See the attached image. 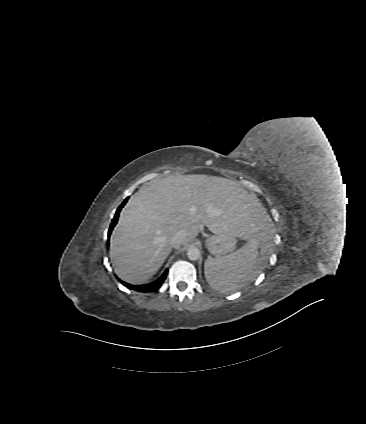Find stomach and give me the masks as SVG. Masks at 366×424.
Wrapping results in <instances>:
<instances>
[{"mask_svg": "<svg viewBox=\"0 0 366 424\" xmlns=\"http://www.w3.org/2000/svg\"><path fill=\"white\" fill-rule=\"evenodd\" d=\"M238 236L229 233H218L209 237L206 242L208 251L216 256H222L232 251L236 245Z\"/></svg>", "mask_w": 366, "mask_h": 424, "instance_id": "0dacf381", "label": "stomach"}]
</instances>
